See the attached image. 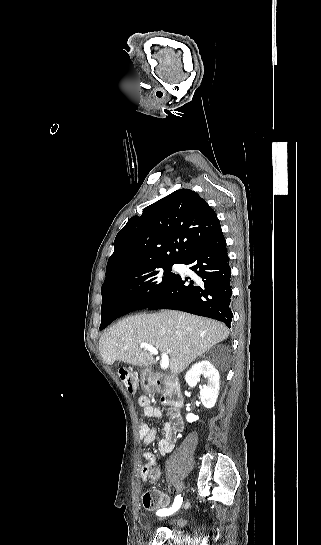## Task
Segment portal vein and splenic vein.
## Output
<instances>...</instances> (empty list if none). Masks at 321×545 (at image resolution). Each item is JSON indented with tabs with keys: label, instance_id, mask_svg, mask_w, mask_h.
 <instances>
[{
	"label": "portal vein and splenic vein",
	"instance_id": "obj_1",
	"mask_svg": "<svg viewBox=\"0 0 321 545\" xmlns=\"http://www.w3.org/2000/svg\"><path fill=\"white\" fill-rule=\"evenodd\" d=\"M140 349H146L149 351L150 355H158V349H155L153 345H148V343H140ZM161 369H168L169 367V357L168 355H162L160 361Z\"/></svg>",
	"mask_w": 321,
	"mask_h": 545
}]
</instances>
